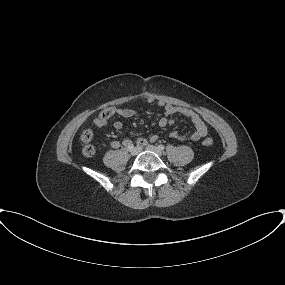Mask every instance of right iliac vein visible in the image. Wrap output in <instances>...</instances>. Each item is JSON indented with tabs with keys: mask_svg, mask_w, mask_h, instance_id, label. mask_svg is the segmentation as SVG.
Instances as JSON below:
<instances>
[{
	"mask_svg": "<svg viewBox=\"0 0 285 285\" xmlns=\"http://www.w3.org/2000/svg\"><path fill=\"white\" fill-rule=\"evenodd\" d=\"M139 152H140V148H139V147H135V148H133V149L130 151V154H131L132 156H136V155L139 154Z\"/></svg>",
	"mask_w": 285,
	"mask_h": 285,
	"instance_id": "right-iliac-vein-1",
	"label": "right iliac vein"
}]
</instances>
